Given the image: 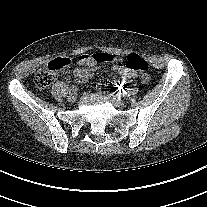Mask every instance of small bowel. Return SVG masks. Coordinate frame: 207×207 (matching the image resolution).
<instances>
[{"instance_id":"1","label":"small bowel","mask_w":207,"mask_h":207,"mask_svg":"<svg viewBox=\"0 0 207 207\" xmlns=\"http://www.w3.org/2000/svg\"><path fill=\"white\" fill-rule=\"evenodd\" d=\"M78 63L81 67L75 70L76 77L83 81H88L93 77L92 70L96 68L101 62L96 61L92 55L86 54L79 57ZM110 63L114 64V70L117 73L125 75L129 78L136 77L134 72L128 70L122 65L119 58L115 57ZM140 79L143 83H147L149 81L148 75H141Z\"/></svg>"}]
</instances>
